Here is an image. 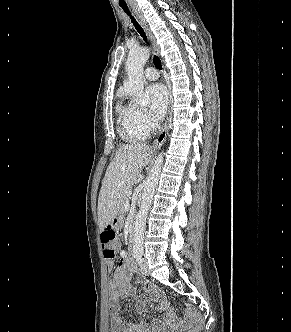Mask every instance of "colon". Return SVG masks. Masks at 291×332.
Segmentation results:
<instances>
[{
    "label": "colon",
    "mask_w": 291,
    "mask_h": 332,
    "mask_svg": "<svg viewBox=\"0 0 291 332\" xmlns=\"http://www.w3.org/2000/svg\"><path fill=\"white\" fill-rule=\"evenodd\" d=\"M101 242L104 257L107 259H114L119 245L116 232L113 228L107 227L103 230L101 233ZM186 315L188 318L186 332H200L203 327L200 313L193 309H186Z\"/></svg>",
    "instance_id": "1"
}]
</instances>
